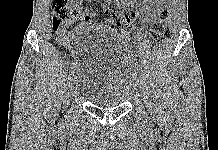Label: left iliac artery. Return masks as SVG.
<instances>
[{"label":"left iliac artery","instance_id":"44dca946","mask_svg":"<svg viewBox=\"0 0 218 150\" xmlns=\"http://www.w3.org/2000/svg\"><path fill=\"white\" fill-rule=\"evenodd\" d=\"M132 74L134 76H140L142 73L140 71H134Z\"/></svg>","mask_w":218,"mask_h":150}]
</instances>
